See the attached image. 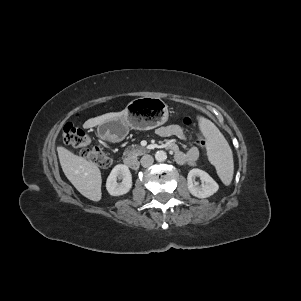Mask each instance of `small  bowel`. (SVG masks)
<instances>
[{"label":"small bowel","instance_id":"obj_1","mask_svg":"<svg viewBox=\"0 0 301 301\" xmlns=\"http://www.w3.org/2000/svg\"><path fill=\"white\" fill-rule=\"evenodd\" d=\"M156 133L163 138L174 136L180 140L186 139L184 129L178 125L161 126L157 129ZM167 147L174 153L176 161L180 164H193L199 156L197 146H191L186 151H181L175 143L169 142Z\"/></svg>","mask_w":301,"mask_h":301}]
</instances>
